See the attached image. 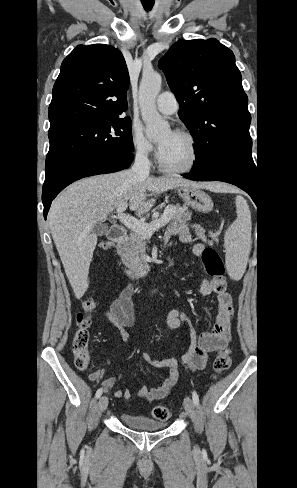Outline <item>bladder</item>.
Listing matches in <instances>:
<instances>
[{"label":"bladder","instance_id":"bladder-1","mask_svg":"<svg viewBox=\"0 0 297 488\" xmlns=\"http://www.w3.org/2000/svg\"><path fill=\"white\" fill-rule=\"evenodd\" d=\"M120 419L125 426L137 431H158L165 428L167 425V423L163 421L130 413H122Z\"/></svg>","mask_w":297,"mask_h":488}]
</instances>
